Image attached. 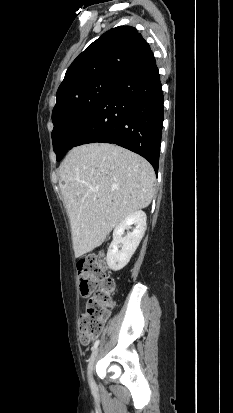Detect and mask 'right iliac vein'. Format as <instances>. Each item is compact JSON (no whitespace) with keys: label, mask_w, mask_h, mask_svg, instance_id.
<instances>
[{"label":"right iliac vein","mask_w":233,"mask_h":413,"mask_svg":"<svg viewBox=\"0 0 233 413\" xmlns=\"http://www.w3.org/2000/svg\"><path fill=\"white\" fill-rule=\"evenodd\" d=\"M97 354H98V350H95L92 353L90 361H89V365H88V373H89V377L91 381H92V371H93V367L96 361Z\"/></svg>","instance_id":"1"}]
</instances>
